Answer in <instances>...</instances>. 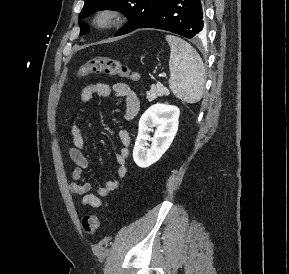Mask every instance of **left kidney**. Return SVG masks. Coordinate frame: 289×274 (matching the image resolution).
I'll return each instance as SVG.
<instances>
[{"instance_id":"left-kidney-1","label":"left kidney","mask_w":289,"mask_h":274,"mask_svg":"<svg viewBox=\"0 0 289 274\" xmlns=\"http://www.w3.org/2000/svg\"><path fill=\"white\" fill-rule=\"evenodd\" d=\"M179 115L178 107L158 103L141 116L133 149V159L139 167H149L167 151L177 133ZM154 127L156 129L151 137L150 132H153Z\"/></svg>"}]
</instances>
